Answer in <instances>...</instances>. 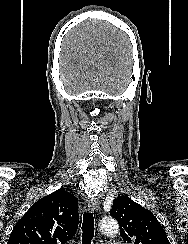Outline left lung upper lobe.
<instances>
[{"mask_svg": "<svg viewBox=\"0 0 188 244\" xmlns=\"http://www.w3.org/2000/svg\"><path fill=\"white\" fill-rule=\"evenodd\" d=\"M111 216L117 219L120 235L129 244H170L166 232L151 211L128 196L113 200Z\"/></svg>", "mask_w": 188, "mask_h": 244, "instance_id": "obj_1", "label": "left lung upper lobe"}]
</instances>
